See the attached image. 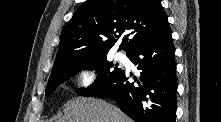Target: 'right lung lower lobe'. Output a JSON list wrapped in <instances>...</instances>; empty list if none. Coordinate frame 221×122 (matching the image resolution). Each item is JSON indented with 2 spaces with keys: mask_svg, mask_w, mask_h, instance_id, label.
Here are the masks:
<instances>
[{
  "mask_svg": "<svg viewBox=\"0 0 221 122\" xmlns=\"http://www.w3.org/2000/svg\"><path fill=\"white\" fill-rule=\"evenodd\" d=\"M172 33L166 22L151 38L127 54L141 70L130 83L123 70L106 88L93 94L109 97L136 122H175L176 63Z\"/></svg>",
  "mask_w": 221,
  "mask_h": 122,
  "instance_id": "obj_1",
  "label": "right lung lower lobe"
}]
</instances>
